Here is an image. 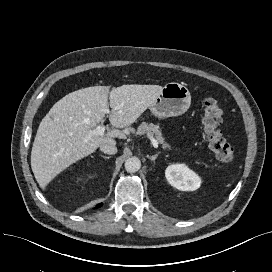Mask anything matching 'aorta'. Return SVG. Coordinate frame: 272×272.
<instances>
[{
	"instance_id": "1",
	"label": "aorta",
	"mask_w": 272,
	"mask_h": 272,
	"mask_svg": "<svg viewBox=\"0 0 272 272\" xmlns=\"http://www.w3.org/2000/svg\"><path fill=\"white\" fill-rule=\"evenodd\" d=\"M125 170L129 173H135L137 172L140 167H141V161L139 158L137 157H131V158H128L126 161H125Z\"/></svg>"
}]
</instances>
